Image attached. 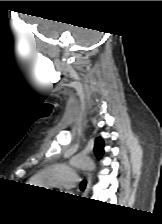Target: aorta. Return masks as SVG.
<instances>
[{"label": "aorta", "mask_w": 162, "mask_h": 224, "mask_svg": "<svg viewBox=\"0 0 162 224\" xmlns=\"http://www.w3.org/2000/svg\"><path fill=\"white\" fill-rule=\"evenodd\" d=\"M70 164L73 167L80 168L83 170L92 171L95 169V164L91 158L88 156L78 154L70 159Z\"/></svg>", "instance_id": "1"}]
</instances>
